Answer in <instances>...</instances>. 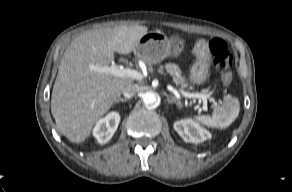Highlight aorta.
<instances>
[{
  "instance_id": "aorta-1",
  "label": "aorta",
  "mask_w": 292,
  "mask_h": 192,
  "mask_svg": "<svg viewBox=\"0 0 292 192\" xmlns=\"http://www.w3.org/2000/svg\"><path fill=\"white\" fill-rule=\"evenodd\" d=\"M143 103L148 108H156L160 104V97L152 92L147 91L142 96Z\"/></svg>"
}]
</instances>
